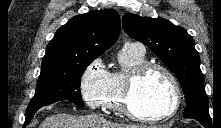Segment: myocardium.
Here are the masks:
<instances>
[{"mask_svg": "<svg viewBox=\"0 0 221 128\" xmlns=\"http://www.w3.org/2000/svg\"><path fill=\"white\" fill-rule=\"evenodd\" d=\"M158 70L168 78L172 100L167 109L156 115H148L138 112L133 104L132 98L139 82L151 71ZM181 104V91L175 75L164 65L152 62H145L133 69L125 80L123 89L122 110L127 117L135 121L159 123L172 117L179 109Z\"/></svg>", "mask_w": 221, "mask_h": 128, "instance_id": "1", "label": "myocardium"}]
</instances>
